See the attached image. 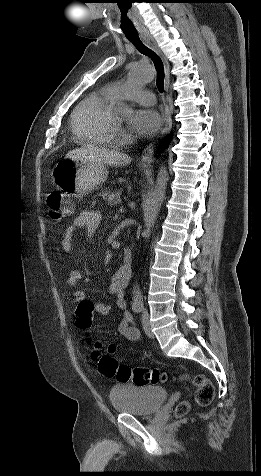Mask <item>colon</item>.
Wrapping results in <instances>:
<instances>
[{"label":"colon","mask_w":261,"mask_h":476,"mask_svg":"<svg viewBox=\"0 0 261 476\" xmlns=\"http://www.w3.org/2000/svg\"><path fill=\"white\" fill-rule=\"evenodd\" d=\"M48 217L54 222H61L73 213L72 205L59 193H51L47 197ZM94 317V306L90 301H82L76 309V324L79 328L87 330L91 327ZM93 356L98 364L99 371L107 377H117L119 381H131L136 385L157 384L164 380V375L156 368L130 367L119 365L112 356L114 347L110 346L104 353L102 344L98 341L92 343ZM196 387V400L201 405L209 404L214 397L212 383L202 374H196L191 379ZM188 409L187 404H181L177 413L183 415Z\"/></svg>","instance_id":"obj_1"}]
</instances>
